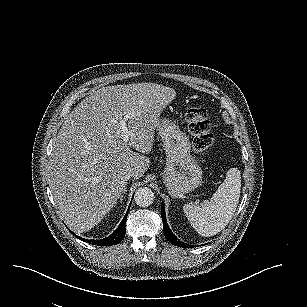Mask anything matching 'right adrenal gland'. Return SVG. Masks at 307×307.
Returning <instances> with one entry per match:
<instances>
[{
  "label": "right adrenal gland",
  "instance_id": "1",
  "mask_svg": "<svg viewBox=\"0 0 307 307\" xmlns=\"http://www.w3.org/2000/svg\"><path fill=\"white\" fill-rule=\"evenodd\" d=\"M126 192V189L124 190V193ZM123 202V196L121 195V197H120V203H122Z\"/></svg>",
  "mask_w": 307,
  "mask_h": 307
}]
</instances>
